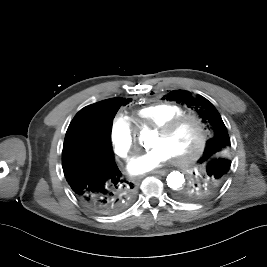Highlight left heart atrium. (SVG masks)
Instances as JSON below:
<instances>
[{"label":"left heart atrium","mask_w":267,"mask_h":267,"mask_svg":"<svg viewBox=\"0 0 267 267\" xmlns=\"http://www.w3.org/2000/svg\"><path fill=\"white\" fill-rule=\"evenodd\" d=\"M171 158L170 152L161 145L135 156L128 164V170L134 175L155 170Z\"/></svg>","instance_id":"1"}]
</instances>
